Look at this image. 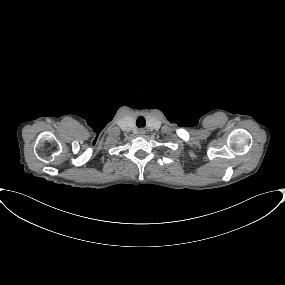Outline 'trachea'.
Masks as SVG:
<instances>
[{
    "instance_id": "trachea-1",
    "label": "trachea",
    "mask_w": 285,
    "mask_h": 285,
    "mask_svg": "<svg viewBox=\"0 0 285 285\" xmlns=\"http://www.w3.org/2000/svg\"><path fill=\"white\" fill-rule=\"evenodd\" d=\"M136 125L139 128L145 127L146 121H145L144 117H142V116L138 117L136 120Z\"/></svg>"
}]
</instances>
